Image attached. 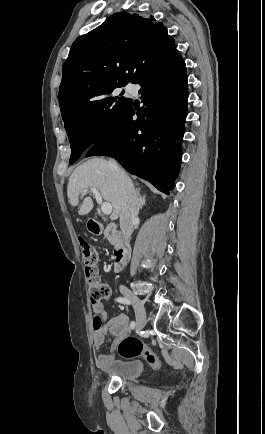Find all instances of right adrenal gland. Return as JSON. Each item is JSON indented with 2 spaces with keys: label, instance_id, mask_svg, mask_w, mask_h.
Segmentation results:
<instances>
[{
  "label": "right adrenal gland",
  "instance_id": "right-adrenal-gland-1",
  "mask_svg": "<svg viewBox=\"0 0 265 434\" xmlns=\"http://www.w3.org/2000/svg\"><path fill=\"white\" fill-rule=\"evenodd\" d=\"M138 196H139V204H140L139 208H140V210H142V208L145 204L146 196H140V192H138Z\"/></svg>",
  "mask_w": 265,
  "mask_h": 434
}]
</instances>
